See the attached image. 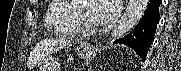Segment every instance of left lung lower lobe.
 I'll return each instance as SVG.
<instances>
[{"label": "left lung lower lobe", "mask_w": 181, "mask_h": 71, "mask_svg": "<svg viewBox=\"0 0 181 71\" xmlns=\"http://www.w3.org/2000/svg\"><path fill=\"white\" fill-rule=\"evenodd\" d=\"M160 4L161 0H150L144 16L134 30L124 38L114 41V43L130 46L145 60L159 21Z\"/></svg>", "instance_id": "left-lung-lower-lobe-1"}]
</instances>
